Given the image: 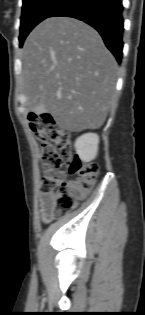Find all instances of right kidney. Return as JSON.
<instances>
[{
    "instance_id": "obj_1",
    "label": "right kidney",
    "mask_w": 145,
    "mask_h": 315,
    "mask_svg": "<svg viewBox=\"0 0 145 315\" xmlns=\"http://www.w3.org/2000/svg\"><path fill=\"white\" fill-rule=\"evenodd\" d=\"M99 136L95 133H87L75 142L76 152L79 158L84 162H90L95 159L98 152Z\"/></svg>"
}]
</instances>
